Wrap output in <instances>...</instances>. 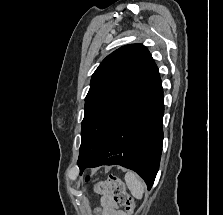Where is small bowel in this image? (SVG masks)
Segmentation results:
<instances>
[{"label":"small bowel","instance_id":"obj_1","mask_svg":"<svg viewBox=\"0 0 223 215\" xmlns=\"http://www.w3.org/2000/svg\"><path fill=\"white\" fill-rule=\"evenodd\" d=\"M97 190L102 194L101 203L106 215H126L114 202L112 198V187L109 182L99 183Z\"/></svg>","mask_w":223,"mask_h":215}]
</instances>
